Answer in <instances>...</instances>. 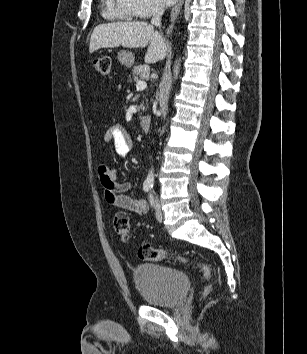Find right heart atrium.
<instances>
[{
    "mask_svg": "<svg viewBox=\"0 0 307 354\" xmlns=\"http://www.w3.org/2000/svg\"><path fill=\"white\" fill-rule=\"evenodd\" d=\"M136 14L140 17H147L157 11L160 7L157 0H130Z\"/></svg>",
    "mask_w": 307,
    "mask_h": 354,
    "instance_id": "d8ad5b80",
    "label": "right heart atrium"
}]
</instances>
